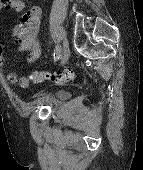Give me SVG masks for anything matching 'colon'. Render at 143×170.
<instances>
[{
    "mask_svg": "<svg viewBox=\"0 0 143 170\" xmlns=\"http://www.w3.org/2000/svg\"><path fill=\"white\" fill-rule=\"evenodd\" d=\"M6 0H0V4L4 3ZM75 79V73L71 70H66L64 72H51V71H36L31 75V80L33 83H43L45 81H54L56 83H64L72 81ZM26 82H22L21 86L25 87Z\"/></svg>",
    "mask_w": 143,
    "mask_h": 170,
    "instance_id": "5ec220e1",
    "label": "colon"
}]
</instances>
